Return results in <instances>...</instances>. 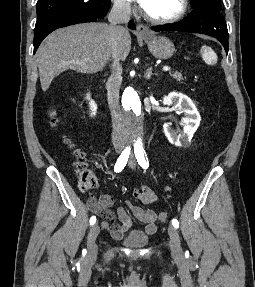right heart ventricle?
<instances>
[{
  "mask_svg": "<svg viewBox=\"0 0 255 287\" xmlns=\"http://www.w3.org/2000/svg\"><path fill=\"white\" fill-rule=\"evenodd\" d=\"M137 39H145V38H137ZM134 48H146V47H134Z\"/></svg>",
  "mask_w": 255,
  "mask_h": 287,
  "instance_id": "1",
  "label": "right heart ventricle"
}]
</instances>
